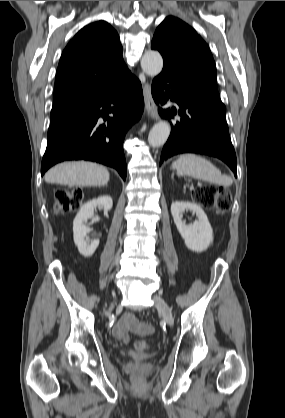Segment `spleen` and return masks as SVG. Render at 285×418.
Instances as JSON below:
<instances>
[{"instance_id":"3e777b00","label":"spleen","mask_w":285,"mask_h":418,"mask_svg":"<svg viewBox=\"0 0 285 418\" xmlns=\"http://www.w3.org/2000/svg\"><path fill=\"white\" fill-rule=\"evenodd\" d=\"M172 168L181 174L225 187L233 183L231 177L223 175L210 161L195 154L181 155L172 163Z\"/></svg>"}]
</instances>
